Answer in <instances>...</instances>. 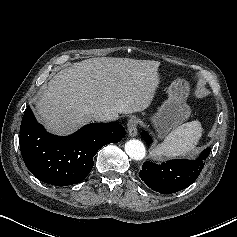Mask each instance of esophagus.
<instances>
[{"label": "esophagus", "instance_id": "obj_1", "mask_svg": "<svg viewBox=\"0 0 237 237\" xmlns=\"http://www.w3.org/2000/svg\"><path fill=\"white\" fill-rule=\"evenodd\" d=\"M138 120L136 118H131L127 123L128 133L131 137H135L138 134Z\"/></svg>", "mask_w": 237, "mask_h": 237}]
</instances>
